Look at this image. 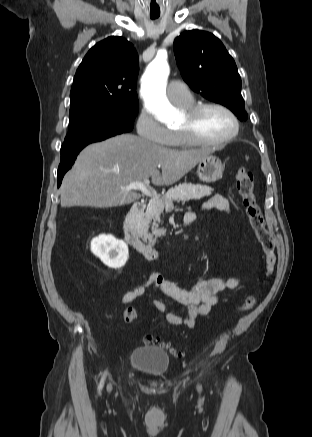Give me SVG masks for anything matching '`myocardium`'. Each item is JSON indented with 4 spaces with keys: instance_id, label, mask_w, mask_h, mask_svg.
<instances>
[{
    "instance_id": "1",
    "label": "myocardium",
    "mask_w": 312,
    "mask_h": 437,
    "mask_svg": "<svg viewBox=\"0 0 312 437\" xmlns=\"http://www.w3.org/2000/svg\"><path fill=\"white\" fill-rule=\"evenodd\" d=\"M208 108H217L225 112L233 122V130L229 135L224 138L217 140H206L201 138L195 129V121L196 118L201 114L204 110ZM185 114L187 116V124L179 129L183 138L190 144L196 146H219L223 144H227L234 140L240 131V122L236 114L226 105L218 102H203L193 104L192 106L184 109Z\"/></svg>"
}]
</instances>
